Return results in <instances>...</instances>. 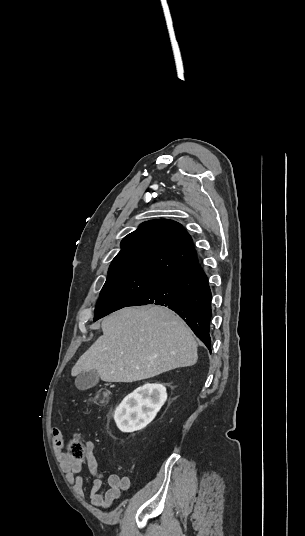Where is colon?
<instances>
[{
	"label": "colon",
	"mask_w": 305,
	"mask_h": 536,
	"mask_svg": "<svg viewBox=\"0 0 305 536\" xmlns=\"http://www.w3.org/2000/svg\"><path fill=\"white\" fill-rule=\"evenodd\" d=\"M110 392L106 389H102L90 397L89 402L95 405H105L108 403ZM67 443L70 444L71 449L75 450L73 454L74 460L80 459V454H86L88 452V445L81 443L80 440L73 437L67 438Z\"/></svg>",
	"instance_id": "obj_1"
}]
</instances>
